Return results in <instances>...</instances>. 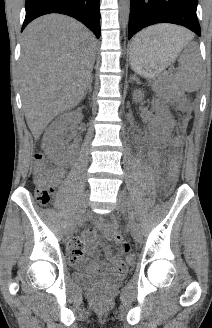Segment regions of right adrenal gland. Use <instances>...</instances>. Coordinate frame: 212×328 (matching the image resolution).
Listing matches in <instances>:
<instances>
[{
  "mask_svg": "<svg viewBox=\"0 0 212 328\" xmlns=\"http://www.w3.org/2000/svg\"><path fill=\"white\" fill-rule=\"evenodd\" d=\"M92 81H93V79L91 78L90 81H89V83H88V86H87V89H86V91L84 93L83 98L86 97L87 93H91L92 92Z\"/></svg>",
  "mask_w": 212,
  "mask_h": 328,
  "instance_id": "obj_1",
  "label": "right adrenal gland"
}]
</instances>
